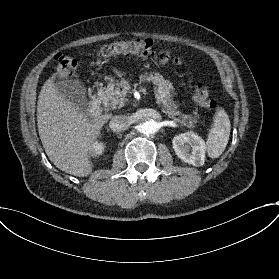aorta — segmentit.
<instances>
[{
    "label": "aorta",
    "mask_w": 279,
    "mask_h": 279,
    "mask_svg": "<svg viewBox=\"0 0 279 279\" xmlns=\"http://www.w3.org/2000/svg\"><path fill=\"white\" fill-rule=\"evenodd\" d=\"M139 130L144 135L149 136V135L156 133L159 130V125L155 120L150 119V120H146L144 123L140 124Z\"/></svg>",
    "instance_id": "aorta-1"
}]
</instances>
